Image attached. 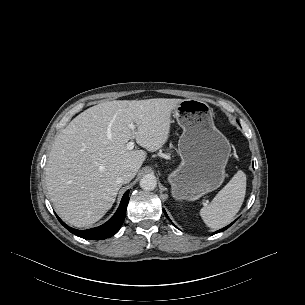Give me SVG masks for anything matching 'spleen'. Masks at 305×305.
Segmentation results:
<instances>
[{
    "instance_id": "3e777b00",
    "label": "spleen",
    "mask_w": 305,
    "mask_h": 305,
    "mask_svg": "<svg viewBox=\"0 0 305 305\" xmlns=\"http://www.w3.org/2000/svg\"><path fill=\"white\" fill-rule=\"evenodd\" d=\"M246 194V174L239 170L209 205L200 210L204 223L219 229L229 224L240 210Z\"/></svg>"
}]
</instances>
